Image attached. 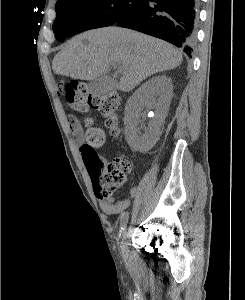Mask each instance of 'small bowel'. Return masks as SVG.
Returning <instances> with one entry per match:
<instances>
[{
	"label": "small bowel",
	"mask_w": 245,
	"mask_h": 300,
	"mask_svg": "<svg viewBox=\"0 0 245 300\" xmlns=\"http://www.w3.org/2000/svg\"><path fill=\"white\" fill-rule=\"evenodd\" d=\"M70 130L72 132L74 141L77 144L82 145L83 143V129L80 123L74 118H69ZM139 193L138 188L133 187L129 191V198L122 201L115 202L112 199L101 200L100 208L106 214H118L124 212L131 204L132 199H134Z\"/></svg>",
	"instance_id": "1"
}]
</instances>
